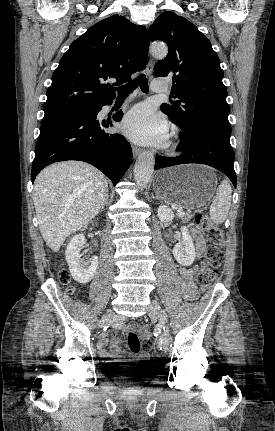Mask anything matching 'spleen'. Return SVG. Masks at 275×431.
<instances>
[{
  "label": "spleen",
  "instance_id": "obj_1",
  "mask_svg": "<svg viewBox=\"0 0 275 431\" xmlns=\"http://www.w3.org/2000/svg\"><path fill=\"white\" fill-rule=\"evenodd\" d=\"M232 198V189L227 180H223L218 186L216 197L209 209L211 220L215 224H222L228 215Z\"/></svg>",
  "mask_w": 275,
  "mask_h": 431
}]
</instances>
